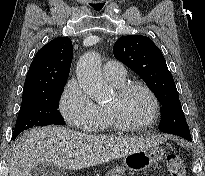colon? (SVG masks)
<instances>
[{"instance_id": "1", "label": "colon", "mask_w": 205, "mask_h": 176, "mask_svg": "<svg viewBox=\"0 0 205 176\" xmlns=\"http://www.w3.org/2000/svg\"><path fill=\"white\" fill-rule=\"evenodd\" d=\"M166 162L170 176H186V168L179 154H169Z\"/></svg>"}]
</instances>
